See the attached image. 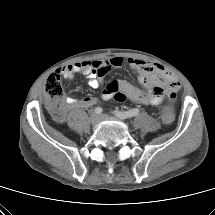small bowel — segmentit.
<instances>
[{"mask_svg":"<svg viewBox=\"0 0 215 215\" xmlns=\"http://www.w3.org/2000/svg\"><path fill=\"white\" fill-rule=\"evenodd\" d=\"M128 65L139 73L141 87L134 86L125 80H114L102 91L103 100L115 99L117 101L130 100L142 105L157 106L161 104L169 90L177 91L180 88L176 76L160 64H154L136 58H129ZM124 64L122 57H112L104 61H81L64 66L57 70L56 74L66 79H72L76 74L88 77V85L98 88L103 84L104 76L111 68H119ZM97 103L94 97L66 99L64 112L73 108H88ZM171 110V109H170ZM172 111V110H171Z\"/></svg>","mask_w":215,"mask_h":215,"instance_id":"obj_1","label":"small bowel"}]
</instances>
